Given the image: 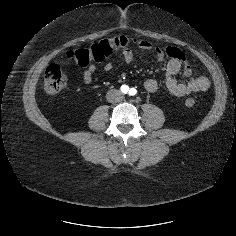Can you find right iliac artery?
I'll return each instance as SVG.
<instances>
[{"label":"right iliac artery","mask_w":236,"mask_h":236,"mask_svg":"<svg viewBox=\"0 0 236 236\" xmlns=\"http://www.w3.org/2000/svg\"><path fill=\"white\" fill-rule=\"evenodd\" d=\"M121 91H122V93L126 94L129 91V87L127 85H122L121 86Z\"/></svg>","instance_id":"right-iliac-artery-1"}]
</instances>
